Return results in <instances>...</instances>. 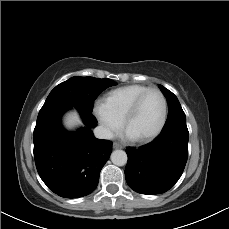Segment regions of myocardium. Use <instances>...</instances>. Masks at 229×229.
<instances>
[{"label":"myocardium","instance_id":"f54148a6","mask_svg":"<svg viewBox=\"0 0 229 229\" xmlns=\"http://www.w3.org/2000/svg\"><path fill=\"white\" fill-rule=\"evenodd\" d=\"M155 92L158 93L162 99L163 102V112H162V118L161 121L158 125V127L151 133H149L148 135L142 136V137H131L127 134L126 130L128 127V124L130 123V121L132 120L133 116L135 115L140 103L142 102V100L150 93ZM167 116H168V103H167V99L165 97V95L162 93V91H160L157 88H150L146 91H144L143 93H141L140 95H138L133 102L130 104V106L128 107L126 114L122 120V135L128 139L131 142L134 143H146V142H150L152 140H154L156 137H158L161 132L163 131L166 122H167Z\"/></svg>","mask_w":229,"mask_h":229}]
</instances>
